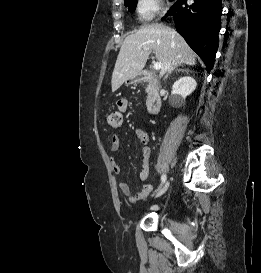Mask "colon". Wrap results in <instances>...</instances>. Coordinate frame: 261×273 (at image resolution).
<instances>
[{
    "mask_svg": "<svg viewBox=\"0 0 261 273\" xmlns=\"http://www.w3.org/2000/svg\"><path fill=\"white\" fill-rule=\"evenodd\" d=\"M108 124L112 128H119L122 124V114L119 111H114L108 116Z\"/></svg>",
    "mask_w": 261,
    "mask_h": 273,
    "instance_id": "5ec220e1",
    "label": "colon"
}]
</instances>
